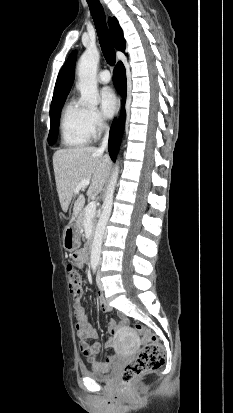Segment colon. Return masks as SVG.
Listing matches in <instances>:
<instances>
[{"mask_svg": "<svg viewBox=\"0 0 233 413\" xmlns=\"http://www.w3.org/2000/svg\"><path fill=\"white\" fill-rule=\"evenodd\" d=\"M82 275L72 263L68 265V282L72 293L82 284ZM136 332L141 335L143 347L135 354L121 372V381L129 383L138 376L159 368L164 363V349L158 343L156 336L140 324L135 325Z\"/></svg>", "mask_w": 233, "mask_h": 413, "instance_id": "obj_1", "label": "colon"}]
</instances>
